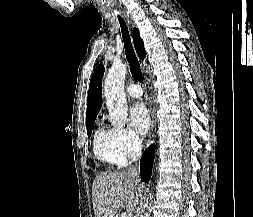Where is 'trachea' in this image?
I'll list each match as a JSON object with an SVG mask.
<instances>
[{"label":"trachea","mask_w":253,"mask_h":217,"mask_svg":"<svg viewBox=\"0 0 253 217\" xmlns=\"http://www.w3.org/2000/svg\"><path fill=\"white\" fill-rule=\"evenodd\" d=\"M118 19H119V23H120V27H121L126 58L129 63V66H130V72H131L133 78L142 82L143 75H142L138 59L135 55V52H134V49H133V46L131 43V38L129 35L127 25L122 17L118 16Z\"/></svg>","instance_id":"3493384b"}]
</instances>
